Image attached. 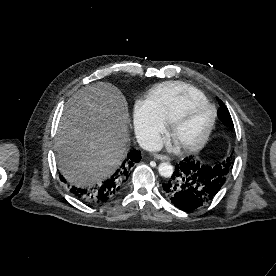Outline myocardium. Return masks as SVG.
I'll list each match as a JSON object with an SVG mask.
<instances>
[{
  "label": "myocardium",
  "mask_w": 276,
  "mask_h": 276,
  "mask_svg": "<svg viewBox=\"0 0 276 276\" xmlns=\"http://www.w3.org/2000/svg\"><path fill=\"white\" fill-rule=\"evenodd\" d=\"M201 103L207 105L211 109L212 117H211V120H210L207 128L205 129L203 134L198 139L181 145L182 148L187 151L197 150L207 142L208 138L210 137V135L213 131V128H214L216 120H217L216 107L211 102H209L207 99H193V100L189 101L183 107V109L173 117V119L169 123L170 124V132L174 136L179 124L188 115L191 108L193 106H195L197 104H201Z\"/></svg>",
  "instance_id": "1"
}]
</instances>
